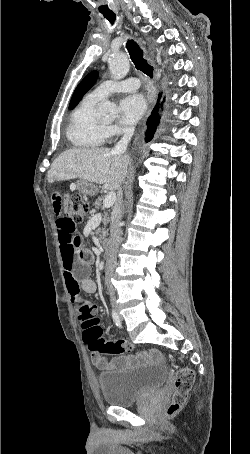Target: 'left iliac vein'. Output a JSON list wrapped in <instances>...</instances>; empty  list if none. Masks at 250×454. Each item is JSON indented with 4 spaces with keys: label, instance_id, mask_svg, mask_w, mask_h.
Listing matches in <instances>:
<instances>
[{
    "label": "left iliac vein",
    "instance_id": "left-iliac-vein-1",
    "mask_svg": "<svg viewBox=\"0 0 250 454\" xmlns=\"http://www.w3.org/2000/svg\"><path fill=\"white\" fill-rule=\"evenodd\" d=\"M119 319L122 320L123 319L122 316L119 315Z\"/></svg>",
    "mask_w": 250,
    "mask_h": 454
}]
</instances>
